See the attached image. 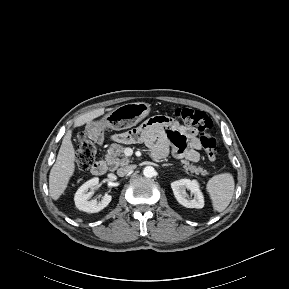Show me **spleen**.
<instances>
[{"label": "spleen", "mask_w": 289, "mask_h": 289, "mask_svg": "<svg viewBox=\"0 0 289 289\" xmlns=\"http://www.w3.org/2000/svg\"><path fill=\"white\" fill-rule=\"evenodd\" d=\"M234 187V178L231 173L217 174L209 179L206 190L215 211L222 212L228 207L234 194Z\"/></svg>", "instance_id": "3e777b00"}]
</instances>
